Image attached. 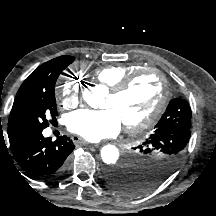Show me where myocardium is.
I'll return each instance as SVG.
<instances>
[{
  "mask_svg": "<svg viewBox=\"0 0 216 216\" xmlns=\"http://www.w3.org/2000/svg\"><path fill=\"white\" fill-rule=\"evenodd\" d=\"M155 73L161 82V95L159 97V100L153 110L150 112V114L143 119L142 121L135 123V124H124V129L128 133H139L142 132L148 128H150L159 118L161 113L163 112L170 96V89H169V82L166 78L165 74L157 69V68H143L136 72H133L129 75H127L125 78H123L120 82H118L115 86L110 88V95L113 97H118L124 92H126L130 87L135 83V81L140 78L142 75L146 73Z\"/></svg>",
  "mask_w": 216,
  "mask_h": 216,
  "instance_id": "obj_1",
  "label": "myocardium"
}]
</instances>
